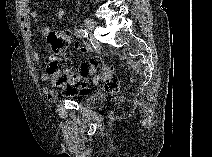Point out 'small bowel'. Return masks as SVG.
Instances as JSON below:
<instances>
[{"instance_id":"small-bowel-1","label":"small bowel","mask_w":212,"mask_h":157,"mask_svg":"<svg viewBox=\"0 0 212 157\" xmlns=\"http://www.w3.org/2000/svg\"><path fill=\"white\" fill-rule=\"evenodd\" d=\"M64 16H65L64 9L58 8L57 11H56L57 19L59 21H62ZM37 17H38V13H37V11H35L31 7V3L29 1L23 0V1L20 2V22H21L23 32L28 39H31V37H32V22L35 19H37ZM50 32H51V29L48 26L43 27L42 30H41V34H42L43 37H48ZM74 48L77 52H79L81 54H91V53H93V50L88 45L80 43V42H76L75 45H74ZM32 59L34 61H38L40 59L39 52L35 51L32 54ZM99 61H100V59L93 57L88 62L82 63L81 69H84L86 67H93ZM49 79H50V76L46 72L42 73L41 76H40V81L43 84H47ZM43 92H44L45 96L47 97V99L51 102L56 101L57 98H58V94H57L56 90L53 89L52 87L48 86V85H45L43 87Z\"/></svg>"}]
</instances>
